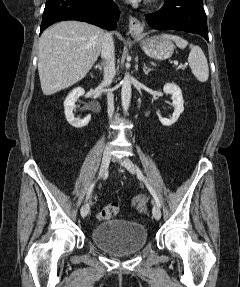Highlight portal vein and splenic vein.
Segmentation results:
<instances>
[{"label": "portal vein and splenic vein", "instance_id": "18ae733b", "mask_svg": "<svg viewBox=\"0 0 240 287\" xmlns=\"http://www.w3.org/2000/svg\"><path fill=\"white\" fill-rule=\"evenodd\" d=\"M176 64H177V63H176ZM177 68H178V69H185L186 66L181 64V65H179Z\"/></svg>", "mask_w": 240, "mask_h": 287}]
</instances>
